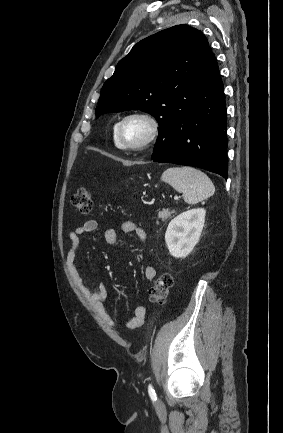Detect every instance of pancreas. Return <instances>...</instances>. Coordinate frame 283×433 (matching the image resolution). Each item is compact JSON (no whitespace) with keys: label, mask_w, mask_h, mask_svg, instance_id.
<instances>
[{"label":"pancreas","mask_w":283,"mask_h":433,"mask_svg":"<svg viewBox=\"0 0 283 433\" xmlns=\"http://www.w3.org/2000/svg\"><path fill=\"white\" fill-rule=\"evenodd\" d=\"M172 212H175V210H169V208H162V210H159L158 212V219H168V217H171Z\"/></svg>","instance_id":"cf45deb5"}]
</instances>
